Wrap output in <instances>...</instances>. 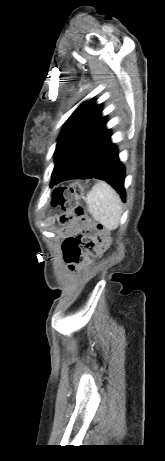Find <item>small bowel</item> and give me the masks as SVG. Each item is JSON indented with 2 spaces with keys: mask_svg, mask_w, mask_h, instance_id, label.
Returning <instances> with one entry per match:
<instances>
[{
  "mask_svg": "<svg viewBox=\"0 0 165 461\" xmlns=\"http://www.w3.org/2000/svg\"><path fill=\"white\" fill-rule=\"evenodd\" d=\"M77 231H80V234H77ZM93 234V229L82 227L78 222H73L70 229H61L60 233H55V240L62 242V262L66 264L68 270H77L78 266L85 265L84 256L87 254V249L84 246L91 241Z\"/></svg>",
  "mask_w": 165,
  "mask_h": 461,
  "instance_id": "c3829d8e",
  "label": "small bowel"
}]
</instances>
